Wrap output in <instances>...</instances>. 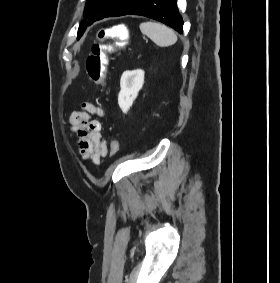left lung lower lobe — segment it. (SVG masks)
I'll return each mask as SVG.
<instances>
[{"label": "left lung lower lobe", "instance_id": "obj_1", "mask_svg": "<svg viewBox=\"0 0 280 283\" xmlns=\"http://www.w3.org/2000/svg\"><path fill=\"white\" fill-rule=\"evenodd\" d=\"M128 14L146 16L170 26L178 33L183 32V20L176 0H144Z\"/></svg>", "mask_w": 280, "mask_h": 283}]
</instances>
